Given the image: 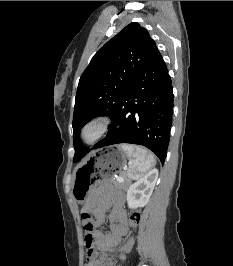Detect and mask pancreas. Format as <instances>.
Returning a JSON list of instances; mask_svg holds the SVG:
<instances>
[{
  "label": "pancreas",
  "mask_w": 233,
  "mask_h": 266,
  "mask_svg": "<svg viewBox=\"0 0 233 266\" xmlns=\"http://www.w3.org/2000/svg\"><path fill=\"white\" fill-rule=\"evenodd\" d=\"M114 183L120 187H126L127 184L129 183L128 181H123V182H118L117 180L114 181Z\"/></svg>",
  "instance_id": "pancreas-1"
}]
</instances>
